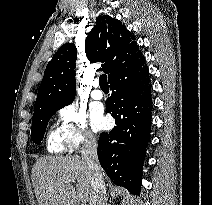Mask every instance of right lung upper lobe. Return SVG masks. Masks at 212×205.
I'll use <instances>...</instances> for the list:
<instances>
[{
    "label": "right lung upper lobe",
    "instance_id": "right-lung-upper-lobe-1",
    "mask_svg": "<svg viewBox=\"0 0 212 205\" xmlns=\"http://www.w3.org/2000/svg\"><path fill=\"white\" fill-rule=\"evenodd\" d=\"M85 52L90 63L105 62L102 70L108 79L118 70L142 56L135 36L109 15L98 17L85 40ZM77 49L74 44L61 46L48 63L38 89L34 109L45 105H69L75 96Z\"/></svg>",
    "mask_w": 212,
    "mask_h": 205
}]
</instances>
